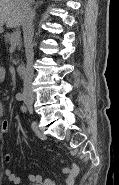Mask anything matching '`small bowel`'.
<instances>
[{"instance_id": "obj_1", "label": "small bowel", "mask_w": 119, "mask_h": 185, "mask_svg": "<svg viewBox=\"0 0 119 185\" xmlns=\"http://www.w3.org/2000/svg\"><path fill=\"white\" fill-rule=\"evenodd\" d=\"M6 79V70L4 68H0V81L3 82ZM0 112H3L2 105L0 106ZM9 131V122L7 120H3L1 123V132L2 134H6ZM3 160L6 163H10L12 160V155L7 153L4 155ZM62 173L65 175V184L64 185H74L75 179L79 173V168L77 165H73L70 168H63ZM4 174L8 178L9 181L18 184L21 182V177L15 174L11 169H5ZM28 180L35 183H41L42 185H56V183L50 178H43L41 175H29Z\"/></svg>"}]
</instances>
